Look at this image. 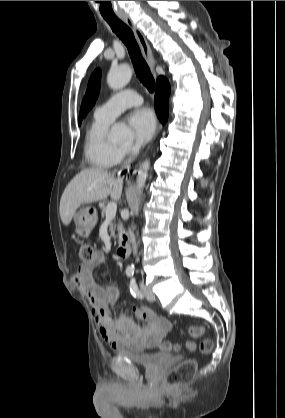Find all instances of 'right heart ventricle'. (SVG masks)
<instances>
[{"mask_svg":"<svg viewBox=\"0 0 285 418\" xmlns=\"http://www.w3.org/2000/svg\"><path fill=\"white\" fill-rule=\"evenodd\" d=\"M110 124V121L95 117L87 130L84 153L94 168L104 169L119 162V147L108 138Z\"/></svg>","mask_w":285,"mask_h":418,"instance_id":"e07e8e85","label":"right heart ventricle"}]
</instances>
